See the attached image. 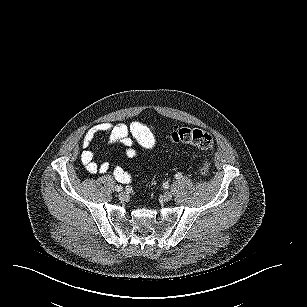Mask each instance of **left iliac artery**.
I'll list each match as a JSON object with an SVG mask.
<instances>
[{
	"mask_svg": "<svg viewBox=\"0 0 307 307\" xmlns=\"http://www.w3.org/2000/svg\"><path fill=\"white\" fill-rule=\"evenodd\" d=\"M175 178H176V179H181V178H182V174L179 173V172L176 173V174H175Z\"/></svg>",
	"mask_w": 307,
	"mask_h": 307,
	"instance_id": "1",
	"label": "left iliac artery"
}]
</instances>
